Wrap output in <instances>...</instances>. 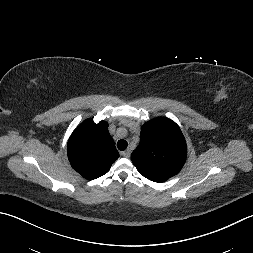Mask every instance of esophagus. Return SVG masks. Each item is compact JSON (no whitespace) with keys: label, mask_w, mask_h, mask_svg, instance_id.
<instances>
[{"label":"esophagus","mask_w":253,"mask_h":253,"mask_svg":"<svg viewBox=\"0 0 253 253\" xmlns=\"http://www.w3.org/2000/svg\"><path fill=\"white\" fill-rule=\"evenodd\" d=\"M121 155L125 158H129L130 157V151L129 150L123 151V152H121Z\"/></svg>","instance_id":"obj_1"}]
</instances>
